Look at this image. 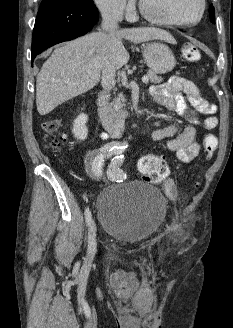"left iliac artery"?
<instances>
[{"label": "left iliac artery", "mask_w": 233, "mask_h": 328, "mask_svg": "<svg viewBox=\"0 0 233 328\" xmlns=\"http://www.w3.org/2000/svg\"><path fill=\"white\" fill-rule=\"evenodd\" d=\"M123 160L124 156L122 154L117 155L112 159L111 164L107 170L108 178L111 181L122 182L124 179H126V174L120 168Z\"/></svg>", "instance_id": "obj_1"}]
</instances>
